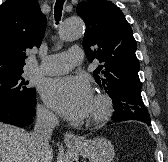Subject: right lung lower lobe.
<instances>
[{"mask_svg": "<svg viewBox=\"0 0 168 162\" xmlns=\"http://www.w3.org/2000/svg\"><path fill=\"white\" fill-rule=\"evenodd\" d=\"M36 100L23 104L10 100H0V122L24 127L32 123Z\"/></svg>", "mask_w": 168, "mask_h": 162, "instance_id": "98d812e1", "label": "right lung lower lobe"}]
</instances>
